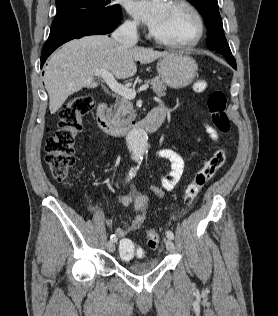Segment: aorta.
Wrapping results in <instances>:
<instances>
[{
	"instance_id": "aorta-1",
	"label": "aorta",
	"mask_w": 278,
	"mask_h": 316,
	"mask_svg": "<svg viewBox=\"0 0 278 316\" xmlns=\"http://www.w3.org/2000/svg\"><path fill=\"white\" fill-rule=\"evenodd\" d=\"M147 134L141 128H134L130 130L126 136L127 147L131 153V158L141 163L146 150Z\"/></svg>"
}]
</instances>
